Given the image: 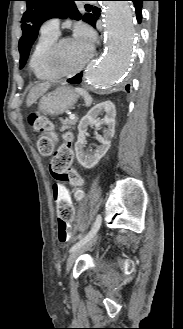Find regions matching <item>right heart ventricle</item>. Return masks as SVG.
<instances>
[{
  "label": "right heart ventricle",
  "mask_w": 183,
  "mask_h": 329,
  "mask_svg": "<svg viewBox=\"0 0 183 329\" xmlns=\"http://www.w3.org/2000/svg\"><path fill=\"white\" fill-rule=\"evenodd\" d=\"M57 38V34L41 31L33 47L29 65L35 77L39 80L50 81L55 79L47 67V56Z\"/></svg>",
  "instance_id": "right-heart-ventricle-1"
}]
</instances>
